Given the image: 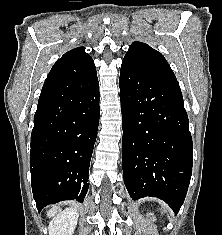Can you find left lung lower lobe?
I'll return each mask as SVG.
<instances>
[{
    "label": "left lung lower lobe",
    "instance_id": "left-lung-lower-lobe-1",
    "mask_svg": "<svg viewBox=\"0 0 222 235\" xmlns=\"http://www.w3.org/2000/svg\"><path fill=\"white\" fill-rule=\"evenodd\" d=\"M123 177L132 199H162L178 213L193 164L189 122L178 82L122 61Z\"/></svg>",
    "mask_w": 222,
    "mask_h": 235
}]
</instances>
